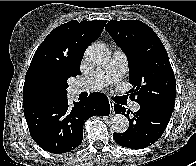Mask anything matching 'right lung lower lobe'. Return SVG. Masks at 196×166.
I'll list each match as a JSON object with an SVG mask.
<instances>
[{
  "mask_svg": "<svg viewBox=\"0 0 196 166\" xmlns=\"http://www.w3.org/2000/svg\"><path fill=\"white\" fill-rule=\"evenodd\" d=\"M108 98L93 93L86 99L68 104L67 95L24 108L33 140L45 151L60 154L79 146L84 121L93 115H109Z\"/></svg>",
  "mask_w": 196,
  "mask_h": 166,
  "instance_id": "1",
  "label": "right lung lower lobe"
}]
</instances>
